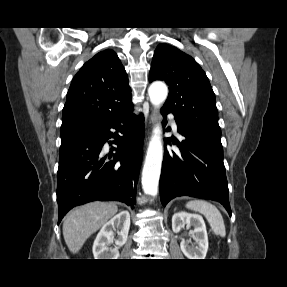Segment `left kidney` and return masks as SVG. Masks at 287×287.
<instances>
[{"mask_svg": "<svg viewBox=\"0 0 287 287\" xmlns=\"http://www.w3.org/2000/svg\"><path fill=\"white\" fill-rule=\"evenodd\" d=\"M193 226L192 238L194 245H189V241L182 240L180 248L188 259H205L208 250V236L203 218L198 214L178 212L172 216V230L179 233L185 226Z\"/></svg>", "mask_w": 287, "mask_h": 287, "instance_id": "obj_1", "label": "left kidney"}]
</instances>
